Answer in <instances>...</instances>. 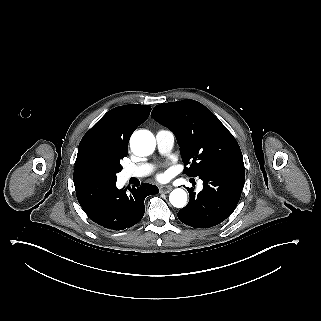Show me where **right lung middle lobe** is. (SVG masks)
Listing matches in <instances>:
<instances>
[{
  "instance_id": "obj_1",
  "label": "right lung middle lobe",
  "mask_w": 321,
  "mask_h": 321,
  "mask_svg": "<svg viewBox=\"0 0 321 321\" xmlns=\"http://www.w3.org/2000/svg\"><path fill=\"white\" fill-rule=\"evenodd\" d=\"M127 153L128 151H111L97 143L90 144L82 151L80 163L91 178L116 181V174L123 168L120 160L126 157Z\"/></svg>"
}]
</instances>
